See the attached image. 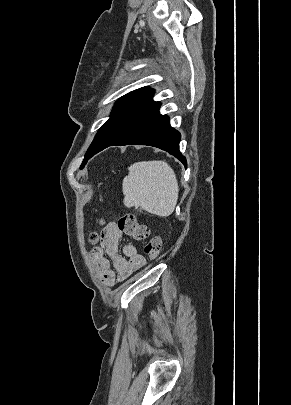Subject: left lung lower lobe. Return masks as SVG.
Returning <instances> with one entry per match:
<instances>
[{"mask_svg":"<svg viewBox=\"0 0 291 405\" xmlns=\"http://www.w3.org/2000/svg\"><path fill=\"white\" fill-rule=\"evenodd\" d=\"M154 90L145 95L125 131L109 146L148 145L167 151L187 167L186 158L179 151L181 135L169 125V117L159 112L160 102H154ZM105 149V148H104Z\"/></svg>","mask_w":291,"mask_h":405,"instance_id":"left-lung-lower-lobe-1","label":"left lung lower lobe"}]
</instances>
